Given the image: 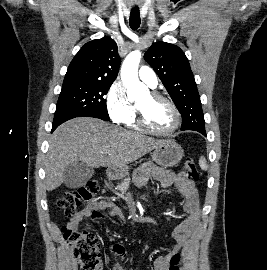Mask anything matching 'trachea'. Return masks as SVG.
<instances>
[{
  "instance_id": "1",
  "label": "trachea",
  "mask_w": 267,
  "mask_h": 270,
  "mask_svg": "<svg viewBox=\"0 0 267 270\" xmlns=\"http://www.w3.org/2000/svg\"><path fill=\"white\" fill-rule=\"evenodd\" d=\"M140 23H141L140 12H139V8L136 7L135 9L131 10L129 25L131 29L137 30L140 26Z\"/></svg>"
}]
</instances>
